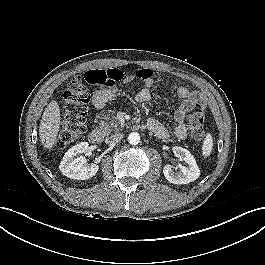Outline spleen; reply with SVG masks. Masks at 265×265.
Segmentation results:
<instances>
[{
  "label": "spleen",
  "mask_w": 265,
  "mask_h": 265,
  "mask_svg": "<svg viewBox=\"0 0 265 265\" xmlns=\"http://www.w3.org/2000/svg\"><path fill=\"white\" fill-rule=\"evenodd\" d=\"M212 149H213V137L210 133H207L202 146V152L204 157H208L211 154Z\"/></svg>",
  "instance_id": "3e777b00"
}]
</instances>
